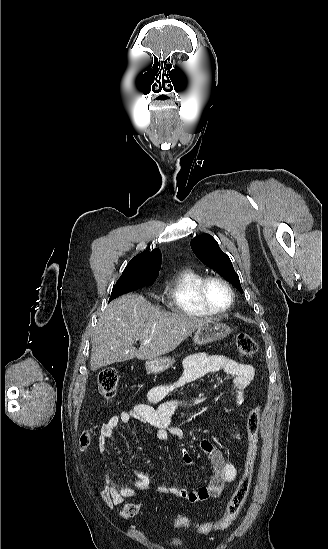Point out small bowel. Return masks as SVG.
<instances>
[{
    "instance_id": "c3829d8e",
    "label": "small bowel",
    "mask_w": 328,
    "mask_h": 549,
    "mask_svg": "<svg viewBox=\"0 0 328 549\" xmlns=\"http://www.w3.org/2000/svg\"><path fill=\"white\" fill-rule=\"evenodd\" d=\"M218 371H224L232 377L235 405L237 407L241 406L244 402L245 391L254 378V367L224 355L206 352L191 354L184 359V370L175 381L153 387L146 395V402L136 404L130 410L111 416L102 425L98 438L99 452L101 454L105 453L108 441L116 434L120 424L131 425L134 421H137L154 429L157 438L162 441H169L173 438L180 440L179 450L182 461L185 465L192 466L194 460L181 442V430L171 424V417L180 407L200 404L206 398L196 396L188 399H166L175 389ZM154 404L159 405L154 407ZM233 426L235 438L237 440L241 439L238 425L234 423ZM200 448L212 464L213 475L209 483L195 490L160 484L159 489L161 491L180 497L190 503H197L209 498L219 497L224 486L236 479L237 468L235 464L225 460L221 451L212 442L203 439L200 442ZM134 476L135 480L132 485L126 486L119 484L110 474L106 475L101 491V497L106 507L111 509L114 506L123 505L127 499L135 497L137 490L146 491L150 488L153 478L149 474L135 471Z\"/></svg>"
}]
</instances>
